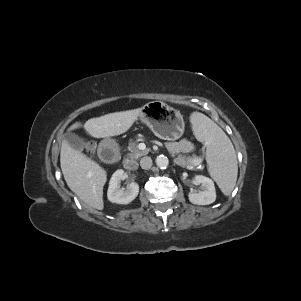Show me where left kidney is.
I'll use <instances>...</instances> for the list:
<instances>
[{"mask_svg": "<svg viewBox=\"0 0 301 301\" xmlns=\"http://www.w3.org/2000/svg\"><path fill=\"white\" fill-rule=\"evenodd\" d=\"M194 183L201 185L202 191L190 192L188 194L189 201L197 205H209L216 200V191L214 182L205 176H195Z\"/></svg>", "mask_w": 301, "mask_h": 301, "instance_id": "left-kidney-1", "label": "left kidney"}]
</instances>
